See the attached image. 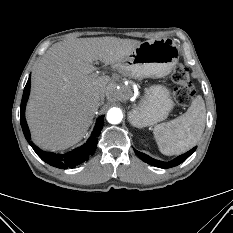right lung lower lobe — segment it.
Segmentation results:
<instances>
[{
	"label": "right lung lower lobe",
	"instance_id": "obj_1",
	"mask_svg": "<svg viewBox=\"0 0 233 233\" xmlns=\"http://www.w3.org/2000/svg\"><path fill=\"white\" fill-rule=\"evenodd\" d=\"M30 81L31 77H29L23 92V97L21 101L20 122L24 136L28 143L32 146L33 150L44 162L50 164L51 166L62 169H67L68 167H75L76 165L88 160V158L95 152L98 143V136L101 133L103 127L104 116H100L97 119L92 135L83 146L76 148L75 150L65 155H59L42 151L37 146H35L33 142L30 140V132L25 119V107L30 93Z\"/></svg>",
	"mask_w": 233,
	"mask_h": 233
}]
</instances>
